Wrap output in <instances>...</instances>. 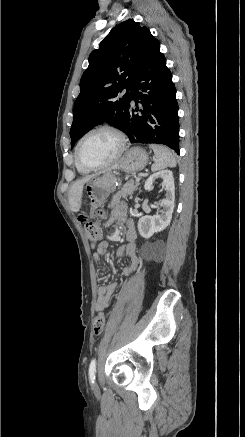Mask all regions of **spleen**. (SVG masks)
Returning <instances> with one entry per match:
<instances>
[{
    "label": "spleen",
    "instance_id": "spleen-1",
    "mask_svg": "<svg viewBox=\"0 0 245 437\" xmlns=\"http://www.w3.org/2000/svg\"><path fill=\"white\" fill-rule=\"evenodd\" d=\"M149 147L154 151L156 157L151 167L153 172L176 166V156L169 148L157 144H150Z\"/></svg>",
    "mask_w": 245,
    "mask_h": 437
}]
</instances>
